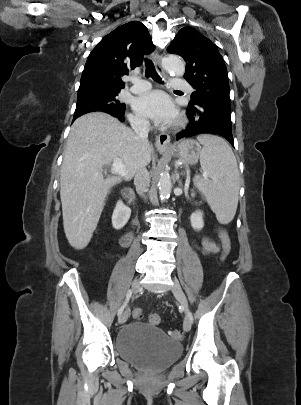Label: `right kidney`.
Wrapping results in <instances>:
<instances>
[{
  "instance_id": "ca27d5eb",
  "label": "right kidney",
  "mask_w": 301,
  "mask_h": 405,
  "mask_svg": "<svg viewBox=\"0 0 301 405\" xmlns=\"http://www.w3.org/2000/svg\"><path fill=\"white\" fill-rule=\"evenodd\" d=\"M131 216V209L119 200L112 214V226L116 230L123 228Z\"/></svg>"
}]
</instances>
